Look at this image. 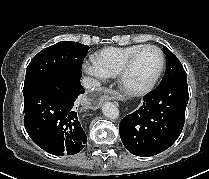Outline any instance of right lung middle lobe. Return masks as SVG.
<instances>
[{"label": "right lung middle lobe", "mask_w": 209, "mask_h": 179, "mask_svg": "<svg viewBox=\"0 0 209 179\" xmlns=\"http://www.w3.org/2000/svg\"><path fill=\"white\" fill-rule=\"evenodd\" d=\"M89 47L61 41L40 51L29 63L23 87L24 100L51 78L71 75L81 78V67Z\"/></svg>", "instance_id": "obj_1"}]
</instances>
